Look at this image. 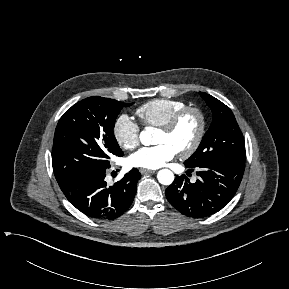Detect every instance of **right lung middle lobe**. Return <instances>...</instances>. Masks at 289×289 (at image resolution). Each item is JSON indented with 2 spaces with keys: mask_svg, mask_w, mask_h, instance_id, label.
I'll return each instance as SVG.
<instances>
[{
  "mask_svg": "<svg viewBox=\"0 0 289 289\" xmlns=\"http://www.w3.org/2000/svg\"><path fill=\"white\" fill-rule=\"evenodd\" d=\"M131 105L89 97L63 114L52 148L53 171L60 187L82 174L109 168L110 157L123 155L113 128L121 109Z\"/></svg>",
  "mask_w": 289,
  "mask_h": 289,
  "instance_id": "right-lung-middle-lobe-1",
  "label": "right lung middle lobe"
}]
</instances>
